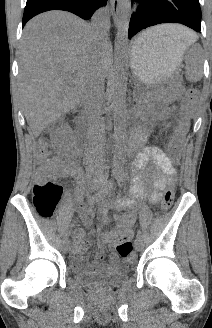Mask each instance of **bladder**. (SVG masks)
Listing matches in <instances>:
<instances>
[{"instance_id": "obj_1", "label": "bladder", "mask_w": 212, "mask_h": 328, "mask_svg": "<svg viewBox=\"0 0 212 328\" xmlns=\"http://www.w3.org/2000/svg\"><path fill=\"white\" fill-rule=\"evenodd\" d=\"M73 278L80 285L91 289H113L121 286L128 279V274L115 271L108 274L96 275L89 271L88 260L85 257H74L70 262Z\"/></svg>"}]
</instances>
